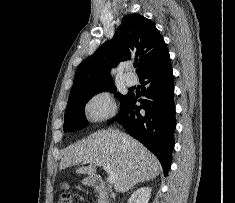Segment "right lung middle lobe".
<instances>
[{"label":"right lung middle lobe","instance_id":"obj_1","mask_svg":"<svg viewBox=\"0 0 235 203\" xmlns=\"http://www.w3.org/2000/svg\"><path fill=\"white\" fill-rule=\"evenodd\" d=\"M105 90L115 92L116 88L112 81L95 84L70 94L64 118L65 132H74L88 126L84 107L90 98ZM115 96L122 103L127 95L115 93Z\"/></svg>","mask_w":235,"mask_h":203}]
</instances>
